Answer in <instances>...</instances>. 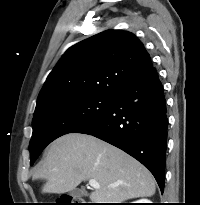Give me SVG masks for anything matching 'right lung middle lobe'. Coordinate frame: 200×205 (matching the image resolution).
Wrapping results in <instances>:
<instances>
[{
    "label": "right lung middle lobe",
    "instance_id": "dd1d6c3e",
    "mask_svg": "<svg viewBox=\"0 0 200 205\" xmlns=\"http://www.w3.org/2000/svg\"><path fill=\"white\" fill-rule=\"evenodd\" d=\"M113 99L114 97L100 95L72 97L34 114L33 134L29 144L30 164L56 138L76 132L101 118L109 110Z\"/></svg>",
    "mask_w": 200,
    "mask_h": 205
}]
</instances>
